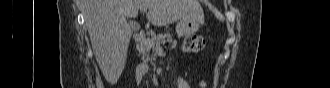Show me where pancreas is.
I'll return each instance as SVG.
<instances>
[{
	"label": "pancreas",
	"instance_id": "obj_1",
	"mask_svg": "<svg viewBox=\"0 0 330 88\" xmlns=\"http://www.w3.org/2000/svg\"><path fill=\"white\" fill-rule=\"evenodd\" d=\"M166 43L171 44V47H176L177 42L173 40L172 35L167 32L164 34L152 35L151 37H147L141 43V52L142 54L147 57V59H153L155 56L152 53L151 57L150 52L155 51L157 46L164 45Z\"/></svg>",
	"mask_w": 330,
	"mask_h": 88
}]
</instances>
